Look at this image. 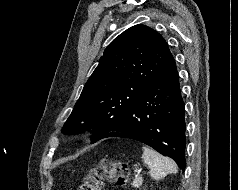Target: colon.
<instances>
[{
  "label": "colon",
  "mask_w": 238,
  "mask_h": 190,
  "mask_svg": "<svg viewBox=\"0 0 238 190\" xmlns=\"http://www.w3.org/2000/svg\"><path fill=\"white\" fill-rule=\"evenodd\" d=\"M132 179V172L125 163L103 159L93 168L80 190H102L105 180L113 181L118 185H125Z\"/></svg>",
  "instance_id": "colon-1"
}]
</instances>
